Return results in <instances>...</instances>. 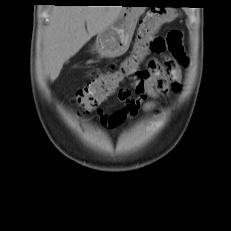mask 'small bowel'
Masks as SVG:
<instances>
[{"instance_id": "1", "label": "small bowel", "mask_w": 231, "mask_h": 231, "mask_svg": "<svg viewBox=\"0 0 231 231\" xmlns=\"http://www.w3.org/2000/svg\"><path fill=\"white\" fill-rule=\"evenodd\" d=\"M164 40L168 55L162 61L149 60L144 71V79L133 81L131 87L121 88L118 91L117 98L122 107L112 114L98 112L99 121L103 126L116 127L134 118L140 109L144 112L155 111L156 99L159 96L181 91V68L188 65V58L182 46V33L179 30H172Z\"/></svg>"}]
</instances>
